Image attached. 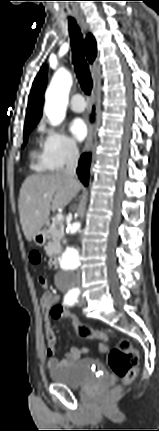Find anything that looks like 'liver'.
<instances>
[{"instance_id":"1","label":"liver","mask_w":159,"mask_h":431,"mask_svg":"<svg viewBox=\"0 0 159 431\" xmlns=\"http://www.w3.org/2000/svg\"><path fill=\"white\" fill-rule=\"evenodd\" d=\"M80 189L63 173L33 174L22 184L18 200L20 223L27 241L41 232L50 211L65 207Z\"/></svg>"}]
</instances>
